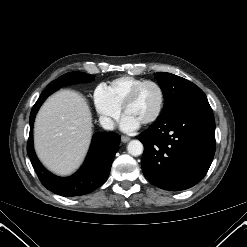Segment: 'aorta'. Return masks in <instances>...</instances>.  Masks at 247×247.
I'll use <instances>...</instances> for the list:
<instances>
[{
	"mask_svg": "<svg viewBox=\"0 0 247 247\" xmlns=\"http://www.w3.org/2000/svg\"><path fill=\"white\" fill-rule=\"evenodd\" d=\"M127 151L132 156H139L143 153V144L139 140H132L127 145Z\"/></svg>",
	"mask_w": 247,
	"mask_h": 247,
	"instance_id": "obj_1",
	"label": "aorta"
}]
</instances>
